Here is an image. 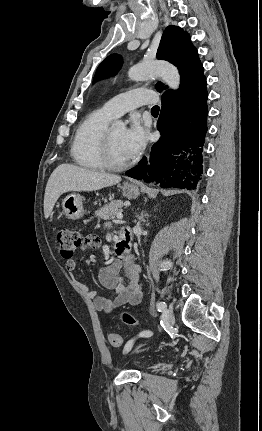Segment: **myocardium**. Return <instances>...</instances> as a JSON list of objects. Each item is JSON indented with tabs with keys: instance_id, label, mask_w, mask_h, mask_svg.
Masks as SVG:
<instances>
[{
	"instance_id": "f54148a6",
	"label": "myocardium",
	"mask_w": 262,
	"mask_h": 431,
	"mask_svg": "<svg viewBox=\"0 0 262 431\" xmlns=\"http://www.w3.org/2000/svg\"><path fill=\"white\" fill-rule=\"evenodd\" d=\"M111 129H107L103 136L102 155L103 161L107 168L112 170H123L131 166V161L120 162L114 158L111 146Z\"/></svg>"
}]
</instances>
